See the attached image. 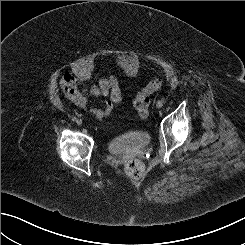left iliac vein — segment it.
<instances>
[{
	"label": "left iliac vein",
	"mask_w": 245,
	"mask_h": 245,
	"mask_svg": "<svg viewBox=\"0 0 245 245\" xmlns=\"http://www.w3.org/2000/svg\"><path fill=\"white\" fill-rule=\"evenodd\" d=\"M156 106H157V108H161L163 106V104L158 101Z\"/></svg>",
	"instance_id": "obj_1"
}]
</instances>
